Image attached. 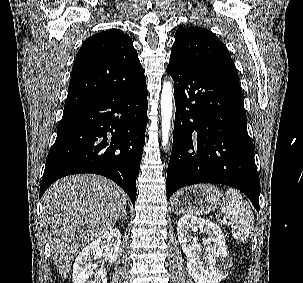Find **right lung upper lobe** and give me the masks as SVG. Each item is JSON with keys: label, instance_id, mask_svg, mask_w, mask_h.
Here are the masks:
<instances>
[{"label": "right lung upper lobe", "instance_id": "obj_1", "mask_svg": "<svg viewBox=\"0 0 303 283\" xmlns=\"http://www.w3.org/2000/svg\"><path fill=\"white\" fill-rule=\"evenodd\" d=\"M131 38L118 29L84 41L72 68L64 109L125 90L144 79Z\"/></svg>", "mask_w": 303, "mask_h": 283}]
</instances>
